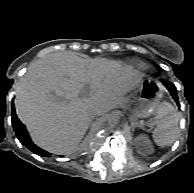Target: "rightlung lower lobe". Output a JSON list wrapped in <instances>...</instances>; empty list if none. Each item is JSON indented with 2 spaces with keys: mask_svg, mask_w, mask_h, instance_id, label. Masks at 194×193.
Masks as SVG:
<instances>
[{
  "mask_svg": "<svg viewBox=\"0 0 194 193\" xmlns=\"http://www.w3.org/2000/svg\"><path fill=\"white\" fill-rule=\"evenodd\" d=\"M12 125H13L15 133H16L18 139L20 140V142L22 143V145L26 146L29 150H31L32 152H34L35 154H37L39 156H43V157L50 156L49 153L40 149L38 146H36L31 141V139L28 135V132L25 129V126L20 122V120L17 118V116L15 114L13 102H12Z\"/></svg>",
  "mask_w": 194,
  "mask_h": 193,
  "instance_id": "1",
  "label": "right lung lower lobe"
}]
</instances>
